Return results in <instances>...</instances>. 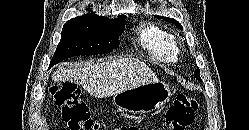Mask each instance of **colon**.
Segmentation results:
<instances>
[{
    "label": "colon",
    "instance_id": "1",
    "mask_svg": "<svg viewBox=\"0 0 249 130\" xmlns=\"http://www.w3.org/2000/svg\"><path fill=\"white\" fill-rule=\"evenodd\" d=\"M51 97L61 109L63 121L70 130H100V124L91 116L87 104L81 99L76 84L65 82L50 88ZM198 102L186 93H180L167 110L164 121L150 130H185L192 124ZM114 130H148L134 125H125Z\"/></svg>",
    "mask_w": 249,
    "mask_h": 130
}]
</instances>
